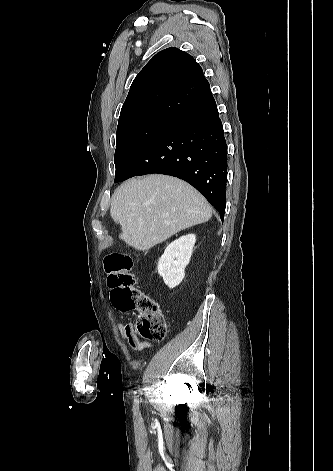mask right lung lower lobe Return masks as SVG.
I'll list each match as a JSON object with an SVG mask.
<instances>
[{"mask_svg":"<svg viewBox=\"0 0 333 471\" xmlns=\"http://www.w3.org/2000/svg\"><path fill=\"white\" fill-rule=\"evenodd\" d=\"M152 173L187 181L202 193L223 219L227 146L211 91L180 112L115 182Z\"/></svg>","mask_w":333,"mask_h":471,"instance_id":"1","label":"right lung lower lobe"}]
</instances>
